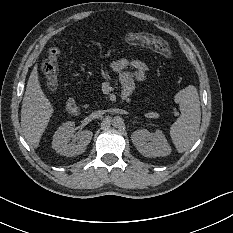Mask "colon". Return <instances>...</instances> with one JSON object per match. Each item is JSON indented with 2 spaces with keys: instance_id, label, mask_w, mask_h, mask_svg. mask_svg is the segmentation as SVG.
I'll return each mask as SVG.
<instances>
[{
  "instance_id": "obj_1",
  "label": "colon",
  "mask_w": 233,
  "mask_h": 233,
  "mask_svg": "<svg viewBox=\"0 0 233 233\" xmlns=\"http://www.w3.org/2000/svg\"><path fill=\"white\" fill-rule=\"evenodd\" d=\"M128 40L136 44H146L157 50L168 62L174 60L169 44L159 38H151L143 34H131ZM60 51L57 48L49 50V58L44 61L42 70L47 77V84L49 87L54 88L58 83V64Z\"/></svg>"
}]
</instances>
